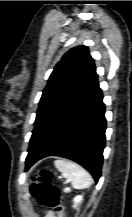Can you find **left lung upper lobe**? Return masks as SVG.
Listing matches in <instances>:
<instances>
[{"mask_svg":"<svg viewBox=\"0 0 132 217\" xmlns=\"http://www.w3.org/2000/svg\"><path fill=\"white\" fill-rule=\"evenodd\" d=\"M97 78L94 60L86 46L69 50L55 66L39 102L28 152L46 129Z\"/></svg>","mask_w":132,"mask_h":217,"instance_id":"obj_1","label":"left lung upper lobe"}]
</instances>
